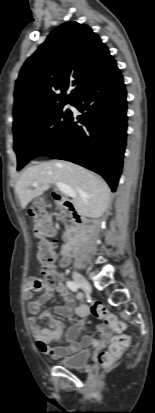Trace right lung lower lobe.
<instances>
[{
	"instance_id": "98d812e1",
	"label": "right lung lower lobe",
	"mask_w": 155,
	"mask_h": 413,
	"mask_svg": "<svg viewBox=\"0 0 155 413\" xmlns=\"http://www.w3.org/2000/svg\"><path fill=\"white\" fill-rule=\"evenodd\" d=\"M71 104L85 112L78 117L71 115L64 130L41 155L86 167L102 175L115 191L127 129L126 89L117 66L82 89Z\"/></svg>"
}]
</instances>
